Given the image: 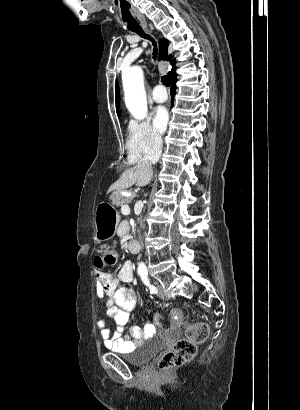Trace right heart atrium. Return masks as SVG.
I'll return each instance as SVG.
<instances>
[{"label": "right heart atrium", "instance_id": "obj_1", "mask_svg": "<svg viewBox=\"0 0 300 410\" xmlns=\"http://www.w3.org/2000/svg\"><path fill=\"white\" fill-rule=\"evenodd\" d=\"M162 145V135L149 120L133 119L127 129L126 149L128 158L139 160L157 152Z\"/></svg>", "mask_w": 300, "mask_h": 410}]
</instances>
